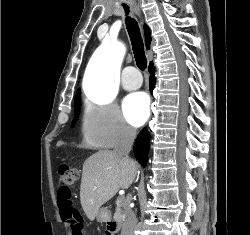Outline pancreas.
Segmentation results:
<instances>
[{
	"label": "pancreas",
	"mask_w": 250,
	"mask_h": 235,
	"mask_svg": "<svg viewBox=\"0 0 250 235\" xmlns=\"http://www.w3.org/2000/svg\"><path fill=\"white\" fill-rule=\"evenodd\" d=\"M124 206V199H120L119 202L117 203V208H116V212L113 216V218L121 223L123 221V218H124V212L122 210V207Z\"/></svg>",
	"instance_id": "cf45deb5"
}]
</instances>
